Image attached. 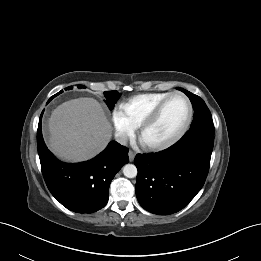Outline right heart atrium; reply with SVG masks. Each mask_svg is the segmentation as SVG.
Instances as JSON below:
<instances>
[{
	"label": "right heart atrium",
	"instance_id": "d8ad5b80",
	"mask_svg": "<svg viewBox=\"0 0 261 261\" xmlns=\"http://www.w3.org/2000/svg\"><path fill=\"white\" fill-rule=\"evenodd\" d=\"M111 120L115 135L120 142H124L133 136L135 128L130 124L121 110L114 109L111 113Z\"/></svg>",
	"mask_w": 261,
	"mask_h": 261
}]
</instances>
